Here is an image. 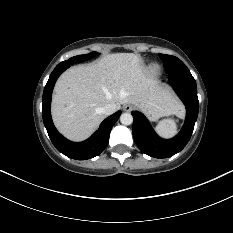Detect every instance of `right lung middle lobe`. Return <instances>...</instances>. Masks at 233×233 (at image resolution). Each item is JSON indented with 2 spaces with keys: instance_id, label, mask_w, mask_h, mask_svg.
I'll return each instance as SVG.
<instances>
[{
  "instance_id": "right-lung-middle-lobe-1",
  "label": "right lung middle lobe",
  "mask_w": 233,
  "mask_h": 233,
  "mask_svg": "<svg viewBox=\"0 0 233 233\" xmlns=\"http://www.w3.org/2000/svg\"><path fill=\"white\" fill-rule=\"evenodd\" d=\"M99 53L97 52H91L89 54H85V55H78V56H75V57H72L66 61H63L61 62L60 64L58 65H70V64H74V63H78V62H81V61H85V60H88L96 55H98Z\"/></svg>"
}]
</instances>
